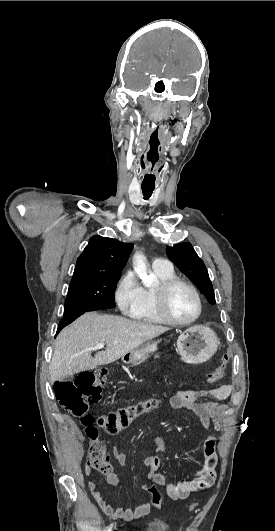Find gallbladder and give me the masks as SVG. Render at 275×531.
Listing matches in <instances>:
<instances>
[{
    "label": "gallbladder",
    "mask_w": 275,
    "mask_h": 531,
    "mask_svg": "<svg viewBox=\"0 0 275 531\" xmlns=\"http://www.w3.org/2000/svg\"><path fill=\"white\" fill-rule=\"evenodd\" d=\"M71 379H73V377H67V381H71Z\"/></svg>",
    "instance_id": "1"
}]
</instances>
